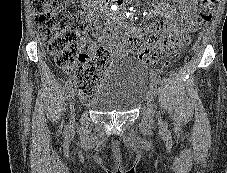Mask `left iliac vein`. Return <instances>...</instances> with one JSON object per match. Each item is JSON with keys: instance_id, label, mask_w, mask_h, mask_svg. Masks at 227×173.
Returning <instances> with one entry per match:
<instances>
[{"instance_id": "left-iliac-vein-1", "label": "left iliac vein", "mask_w": 227, "mask_h": 173, "mask_svg": "<svg viewBox=\"0 0 227 173\" xmlns=\"http://www.w3.org/2000/svg\"><path fill=\"white\" fill-rule=\"evenodd\" d=\"M150 90H151V93L156 96L157 93H158V90H157V84L154 80L151 81L150 83Z\"/></svg>"}]
</instances>
